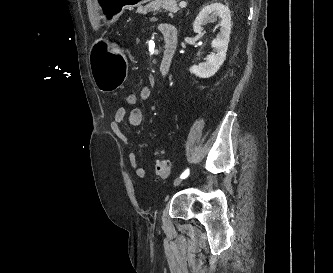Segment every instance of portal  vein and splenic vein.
<instances>
[{
  "label": "portal vein and splenic vein",
  "instance_id": "portal-vein-and-splenic-vein-1",
  "mask_svg": "<svg viewBox=\"0 0 333 273\" xmlns=\"http://www.w3.org/2000/svg\"><path fill=\"white\" fill-rule=\"evenodd\" d=\"M186 6H187V3L184 2V1H182V2L179 3V7H181V8H184Z\"/></svg>",
  "mask_w": 333,
  "mask_h": 273
}]
</instances>
